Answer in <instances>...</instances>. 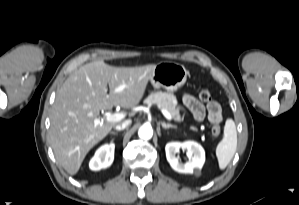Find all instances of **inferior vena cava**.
I'll return each mask as SVG.
<instances>
[{"label":"inferior vena cava","instance_id":"1","mask_svg":"<svg viewBox=\"0 0 299 205\" xmlns=\"http://www.w3.org/2000/svg\"><path fill=\"white\" fill-rule=\"evenodd\" d=\"M131 124V120H126L122 123H119L115 126V129L120 131V130H123L125 129L126 127H128L129 125Z\"/></svg>","mask_w":299,"mask_h":205}]
</instances>
